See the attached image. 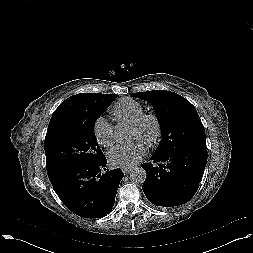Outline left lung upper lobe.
Here are the masks:
<instances>
[{"label": "left lung upper lobe", "instance_id": "left-lung-upper-lobe-1", "mask_svg": "<svg viewBox=\"0 0 253 253\" xmlns=\"http://www.w3.org/2000/svg\"><path fill=\"white\" fill-rule=\"evenodd\" d=\"M151 103L162 129V139L156 153L162 154L181 145L206 148L205 129L195 107L181 95L164 90L132 94Z\"/></svg>", "mask_w": 253, "mask_h": 253}]
</instances>
